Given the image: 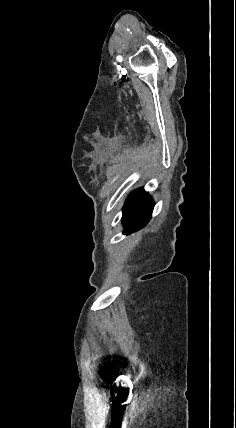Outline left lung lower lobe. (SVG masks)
Wrapping results in <instances>:
<instances>
[{"label":"left lung lower lobe","mask_w":236,"mask_h":428,"mask_svg":"<svg viewBox=\"0 0 236 428\" xmlns=\"http://www.w3.org/2000/svg\"><path fill=\"white\" fill-rule=\"evenodd\" d=\"M154 202L143 188L131 192L122 208L123 233L128 235L143 228L151 219Z\"/></svg>","instance_id":"left-lung-lower-lobe-1"}]
</instances>
